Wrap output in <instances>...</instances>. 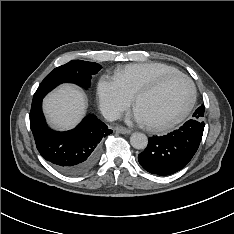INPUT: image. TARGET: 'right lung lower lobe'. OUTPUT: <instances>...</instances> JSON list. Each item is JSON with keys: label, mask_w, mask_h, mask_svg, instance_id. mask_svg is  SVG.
<instances>
[{"label": "right lung lower lobe", "mask_w": 234, "mask_h": 234, "mask_svg": "<svg viewBox=\"0 0 234 234\" xmlns=\"http://www.w3.org/2000/svg\"><path fill=\"white\" fill-rule=\"evenodd\" d=\"M42 99L32 102L30 111V127L38 151L45 160L66 175L85 173L98 159L100 141L111 134L112 130L91 114L72 130L53 131L45 122Z\"/></svg>", "instance_id": "obj_1"}]
</instances>
